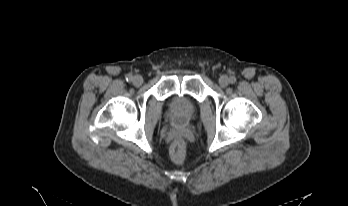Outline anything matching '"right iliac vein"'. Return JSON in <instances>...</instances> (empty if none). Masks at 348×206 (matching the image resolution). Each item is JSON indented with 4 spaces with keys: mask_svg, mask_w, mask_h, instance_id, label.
<instances>
[{
    "mask_svg": "<svg viewBox=\"0 0 348 206\" xmlns=\"http://www.w3.org/2000/svg\"><path fill=\"white\" fill-rule=\"evenodd\" d=\"M132 82L135 86H140L143 83V78L140 75H136L133 77Z\"/></svg>",
    "mask_w": 348,
    "mask_h": 206,
    "instance_id": "right-iliac-vein-1",
    "label": "right iliac vein"
}]
</instances>
